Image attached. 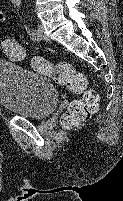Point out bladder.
<instances>
[{
	"mask_svg": "<svg viewBox=\"0 0 123 201\" xmlns=\"http://www.w3.org/2000/svg\"><path fill=\"white\" fill-rule=\"evenodd\" d=\"M58 102V89L47 77L0 60V106L6 112L44 120L54 112Z\"/></svg>",
	"mask_w": 123,
	"mask_h": 201,
	"instance_id": "31cf9c89",
	"label": "bladder"
}]
</instances>
